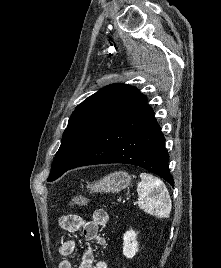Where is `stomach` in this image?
<instances>
[{"label":"stomach","instance_id":"stomach-1","mask_svg":"<svg viewBox=\"0 0 221 268\" xmlns=\"http://www.w3.org/2000/svg\"><path fill=\"white\" fill-rule=\"evenodd\" d=\"M131 176L124 171L110 173L99 181L87 185L90 192H119L129 186Z\"/></svg>","mask_w":221,"mask_h":268}]
</instances>
